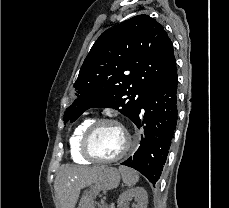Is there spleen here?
<instances>
[{"mask_svg":"<svg viewBox=\"0 0 229 208\" xmlns=\"http://www.w3.org/2000/svg\"><path fill=\"white\" fill-rule=\"evenodd\" d=\"M119 172L126 186H135L136 182L139 180L137 172L131 170V168H127V166H120Z\"/></svg>","mask_w":229,"mask_h":208,"instance_id":"spleen-1","label":"spleen"}]
</instances>
